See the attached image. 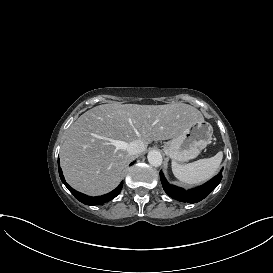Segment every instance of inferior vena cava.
<instances>
[{
  "instance_id": "obj_1",
  "label": "inferior vena cava",
  "mask_w": 273,
  "mask_h": 273,
  "mask_svg": "<svg viewBox=\"0 0 273 273\" xmlns=\"http://www.w3.org/2000/svg\"><path fill=\"white\" fill-rule=\"evenodd\" d=\"M145 145L141 140H134L130 142L127 146V152L130 155H135L141 153L145 150Z\"/></svg>"
}]
</instances>
